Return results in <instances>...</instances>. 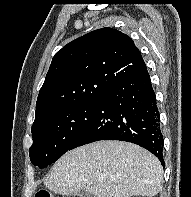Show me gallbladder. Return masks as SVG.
<instances>
[{
    "label": "gallbladder",
    "instance_id": "1",
    "mask_svg": "<svg viewBox=\"0 0 191 197\" xmlns=\"http://www.w3.org/2000/svg\"><path fill=\"white\" fill-rule=\"evenodd\" d=\"M78 197H94V195L83 190L78 193Z\"/></svg>",
    "mask_w": 191,
    "mask_h": 197
}]
</instances>
